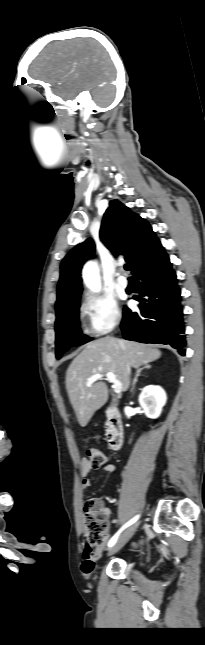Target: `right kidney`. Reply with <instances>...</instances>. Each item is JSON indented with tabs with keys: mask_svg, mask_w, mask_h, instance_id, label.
<instances>
[{
	"mask_svg": "<svg viewBox=\"0 0 205 645\" xmlns=\"http://www.w3.org/2000/svg\"><path fill=\"white\" fill-rule=\"evenodd\" d=\"M139 404L148 418L156 419L160 416L166 403L167 396L160 386H146L139 395Z\"/></svg>",
	"mask_w": 205,
	"mask_h": 645,
	"instance_id": "ca27d5eb",
	"label": "right kidney"
}]
</instances>
